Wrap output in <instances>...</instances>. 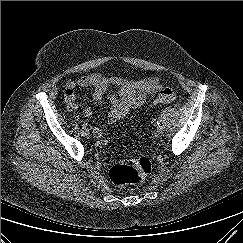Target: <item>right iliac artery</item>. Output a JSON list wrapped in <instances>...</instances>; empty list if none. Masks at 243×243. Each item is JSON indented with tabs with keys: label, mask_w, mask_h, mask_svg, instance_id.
Segmentation results:
<instances>
[{
	"label": "right iliac artery",
	"mask_w": 243,
	"mask_h": 243,
	"mask_svg": "<svg viewBox=\"0 0 243 243\" xmlns=\"http://www.w3.org/2000/svg\"><path fill=\"white\" fill-rule=\"evenodd\" d=\"M82 126L85 128L87 126V124L86 123H83Z\"/></svg>",
	"instance_id": "right-iliac-artery-1"
}]
</instances>
